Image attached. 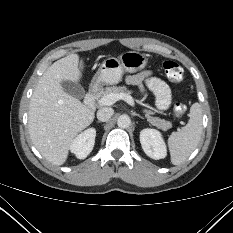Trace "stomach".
Here are the masks:
<instances>
[{"label":"stomach","instance_id":"obj_1","mask_svg":"<svg viewBox=\"0 0 233 233\" xmlns=\"http://www.w3.org/2000/svg\"><path fill=\"white\" fill-rule=\"evenodd\" d=\"M147 65V58L135 51L124 52L119 58L109 57L105 59L93 78V86L103 84H117L121 81L125 72L135 73L141 71Z\"/></svg>","mask_w":233,"mask_h":233}]
</instances>
